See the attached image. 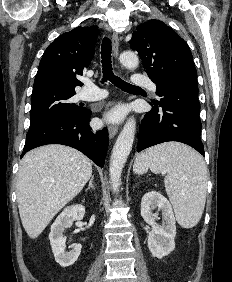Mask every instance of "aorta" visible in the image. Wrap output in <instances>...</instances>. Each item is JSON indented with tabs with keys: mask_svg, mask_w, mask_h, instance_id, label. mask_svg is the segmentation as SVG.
Wrapping results in <instances>:
<instances>
[{
	"mask_svg": "<svg viewBox=\"0 0 232 282\" xmlns=\"http://www.w3.org/2000/svg\"><path fill=\"white\" fill-rule=\"evenodd\" d=\"M120 62L128 69H134L138 66L137 55L132 51H124L120 54ZM136 122L134 117H130L119 134L113 147L110 158L109 175L113 192H117L120 187L121 174L124 164L132 150L135 138Z\"/></svg>",
	"mask_w": 232,
	"mask_h": 282,
	"instance_id": "aorta-1",
	"label": "aorta"
}]
</instances>
